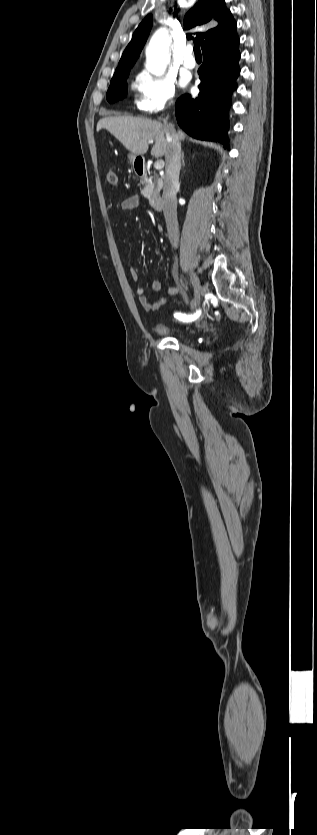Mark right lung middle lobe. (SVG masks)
I'll return each instance as SVG.
<instances>
[{
  "mask_svg": "<svg viewBox=\"0 0 317 835\" xmlns=\"http://www.w3.org/2000/svg\"><path fill=\"white\" fill-rule=\"evenodd\" d=\"M130 73V69H125L121 71H115L113 78L111 79V84L107 91L106 98L108 102L113 103L122 99L127 94V82L126 79L128 78Z\"/></svg>",
  "mask_w": 317,
  "mask_h": 835,
  "instance_id": "obj_1",
  "label": "right lung middle lobe"
}]
</instances>
